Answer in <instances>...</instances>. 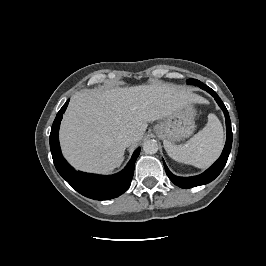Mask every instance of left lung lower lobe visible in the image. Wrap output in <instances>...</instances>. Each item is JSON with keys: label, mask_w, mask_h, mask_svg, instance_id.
Masks as SVG:
<instances>
[{"label": "left lung lower lobe", "mask_w": 266, "mask_h": 266, "mask_svg": "<svg viewBox=\"0 0 266 266\" xmlns=\"http://www.w3.org/2000/svg\"><path fill=\"white\" fill-rule=\"evenodd\" d=\"M191 84L197 85L200 88L209 92L215 98V100L218 103V105L220 106V108L223 110L224 115H225V119H226L227 139H226L225 147H224L223 152H222L221 156L219 157V159L209 169H207L204 173H202L198 176H193V177L175 176L168 170L166 164L164 163L165 171H166V174L169 177V179L175 185H177L181 188H185V189L207 184V183L213 181L221 173V171L223 170V168L227 162L228 156L230 154L231 146H232V137H233L229 113H228L224 103L222 102L220 97L217 95V93L214 90H212L210 87H208L207 85L203 84L201 81L195 80Z\"/></svg>", "instance_id": "0a47b994"}]
</instances>
